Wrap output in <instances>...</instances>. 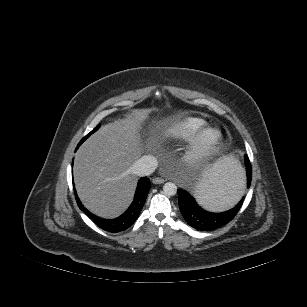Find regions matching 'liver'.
Segmentation results:
<instances>
[{
	"label": "liver",
	"mask_w": 307,
	"mask_h": 307,
	"mask_svg": "<svg viewBox=\"0 0 307 307\" xmlns=\"http://www.w3.org/2000/svg\"><path fill=\"white\" fill-rule=\"evenodd\" d=\"M147 118L146 110H136L124 119L103 125L77 151L75 186L92 213L113 218L130 205L138 180L132 167L155 143V136L144 139L140 133Z\"/></svg>",
	"instance_id": "obj_1"
}]
</instances>
